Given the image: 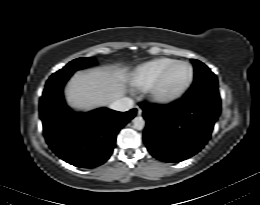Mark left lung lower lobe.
Returning a JSON list of instances; mask_svg holds the SVG:
<instances>
[{"label": "left lung lower lobe", "mask_w": 260, "mask_h": 205, "mask_svg": "<svg viewBox=\"0 0 260 205\" xmlns=\"http://www.w3.org/2000/svg\"><path fill=\"white\" fill-rule=\"evenodd\" d=\"M147 121L144 142L164 162H179L199 152L210 138L220 101L187 96L169 105L140 104Z\"/></svg>", "instance_id": "0a47b994"}]
</instances>
